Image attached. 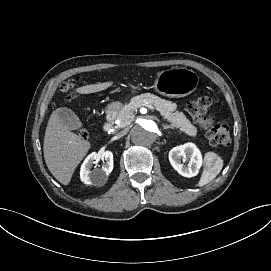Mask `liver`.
Segmentation results:
<instances>
[{
	"label": "liver",
	"mask_w": 271,
	"mask_h": 271,
	"mask_svg": "<svg viewBox=\"0 0 271 271\" xmlns=\"http://www.w3.org/2000/svg\"><path fill=\"white\" fill-rule=\"evenodd\" d=\"M114 81L96 82L77 87L78 94H90L111 87ZM91 141L67 129L55 110L48 122L44 139V158L51 174L63 185H68L74 171L91 148Z\"/></svg>",
	"instance_id": "liver-1"
}]
</instances>
